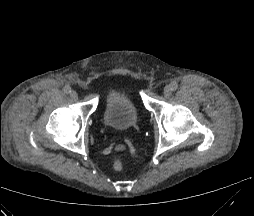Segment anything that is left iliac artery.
Segmentation results:
<instances>
[{
    "instance_id": "obj_1",
    "label": "left iliac artery",
    "mask_w": 254,
    "mask_h": 216,
    "mask_svg": "<svg viewBox=\"0 0 254 216\" xmlns=\"http://www.w3.org/2000/svg\"><path fill=\"white\" fill-rule=\"evenodd\" d=\"M177 88H178V84H177L176 82H172V83L170 84V89H171L172 91L177 90Z\"/></svg>"
}]
</instances>
